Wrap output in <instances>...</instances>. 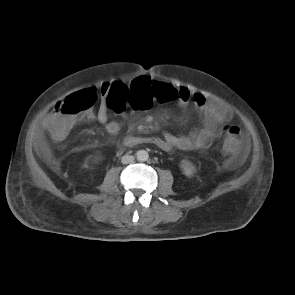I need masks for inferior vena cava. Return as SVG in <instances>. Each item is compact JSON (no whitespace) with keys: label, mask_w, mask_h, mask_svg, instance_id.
Masks as SVG:
<instances>
[{"label":"inferior vena cava","mask_w":295,"mask_h":295,"mask_svg":"<svg viewBox=\"0 0 295 295\" xmlns=\"http://www.w3.org/2000/svg\"><path fill=\"white\" fill-rule=\"evenodd\" d=\"M134 161V156L132 155H124L122 158H121V162L123 164H128V163H131Z\"/></svg>","instance_id":"602c4592"}]
</instances>
